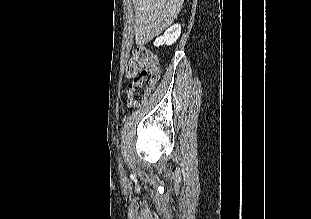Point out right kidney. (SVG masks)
<instances>
[{
  "instance_id": "ca27d5eb",
  "label": "right kidney",
  "mask_w": 311,
  "mask_h": 219,
  "mask_svg": "<svg viewBox=\"0 0 311 219\" xmlns=\"http://www.w3.org/2000/svg\"><path fill=\"white\" fill-rule=\"evenodd\" d=\"M180 34H181V25L175 24L171 26L169 29H167L163 36L158 37L155 40L154 45L157 47L163 44L172 45L179 38Z\"/></svg>"
}]
</instances>
